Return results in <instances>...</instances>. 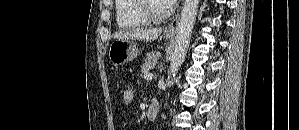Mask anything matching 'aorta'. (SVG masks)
<instances>
[{
	"label": "aorta",
	"instance_id": "1",
	"mask_svg": "<svg viewBox=\"0 0 299 130\" xmlns=\"http://www.w3.org/2000/svg\"><path fill=\"white\" fill-rule=\"evenodd\" d=\"M199 0H185L181 18L177 27L174 52L171 57L170 75L168 84H171L178 68L184 61L189 46L191 33L195 24ZM169 95V94H168Z\"/></svg>",
	"mask_w": 299,
	"mask_h": 130
}]
</instances>
